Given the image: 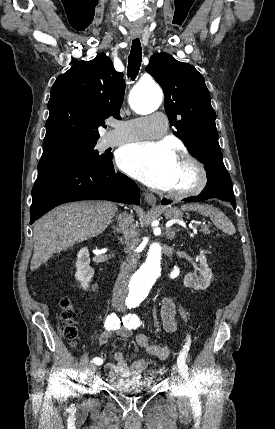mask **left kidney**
<instances>
[{
	"label": "left kidney",
	"instance_id": "5707ae66",
	"mask_svg": "<svg viewBox=\"0 0 275 429\" xmlns=\"http://www.w3.org/2000/svg\"><path fill=\"white\" fill-rule=\"evenodd\" d=\"M199 267L193 273H188L184 277V286L194 290H205L209 287L212 278V271L207 264L205 255L199 256Z\"/></svg>",
	"mask_w": 275,
	"mask_h": 429
}]
</instances>
